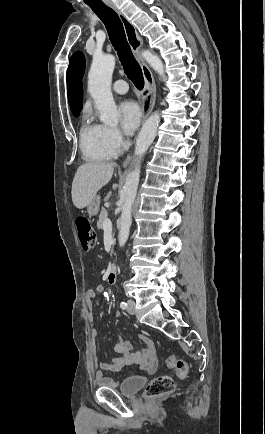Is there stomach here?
Listing matches in <instances>:
<instances>
[{
  "instance_id": "1",
  "label": "stomach",
  "mask_w": 265,
  "mask_h": 434,
  "mask_svg": "<svg viewBox=\"0 0 265 434\" xmlns=\"http://www.w3.org/2000/svg\"><path fill=\"white\" fill-rule=\"evenodd\" d=\"M99 206H100V196H94L90 204H88L87 212L89 216H96V214H98L99 212Z\"/></svg>"
}]
</instances>
